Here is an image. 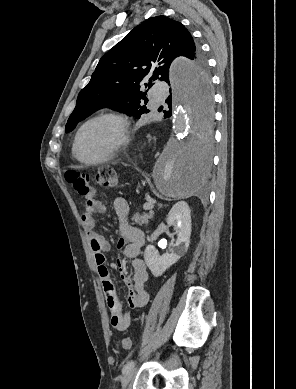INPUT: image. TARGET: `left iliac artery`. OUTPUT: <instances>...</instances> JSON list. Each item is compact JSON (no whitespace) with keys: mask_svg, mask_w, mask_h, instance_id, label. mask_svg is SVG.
Listing matches in <instances>:
<instances>
[{"mask_svg":"<svg viewBox=\"0 0 296 389\" xmlns=\"http://www.w3.org/2000/svg\"><path fill=\"white\" fill-rule=\"evenodd\" d=\"M135 363L134 361H130L128 362L124 367H123V373L127 372L129 369H131L132 367H134Z\"/></svg>","mask_w":296,"mask_h":389,"instance_id":"left-iliac-artery-1","label":"left iliac artery"}]
</instances>
